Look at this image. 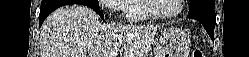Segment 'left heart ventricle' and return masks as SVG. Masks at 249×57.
Masks as SVG:
<instances>
[{
	"mask_svg": "<svg viewBox=\"0 0 249 57\" xmlns=\"http://www.w3.org/2000/svg\"><path fill=\"white\" fill-rule=\"evenodd\" d=\"M153 10L158 14H168L177 10L178 0H153Z\"/></svg>",
	"mask_w": 249,
	"mask_h": 57,
	"instance_id": "b2bd125f",
	"label": "left heart ventricle"
}]
</instances>
